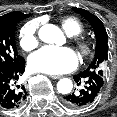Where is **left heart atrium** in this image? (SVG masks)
Here are the masks:
<instances>
[{"label": "left heart atrium", "instance_id": "left-heart-atrium-1", "mask_svg": "<svg viewBox=\"0 0 117 117\" xmlns=\"http://www.w3.org/2000/svg\"><path fill=\"white\" fill-rule=\"evenodd\" d=\"M78 58L66 47L46 46L32 54L29 66L32 70L46 74H61L76 68Z\"/></svg>", "mask_w": 117, "mask_h": 117}]
</instances>
